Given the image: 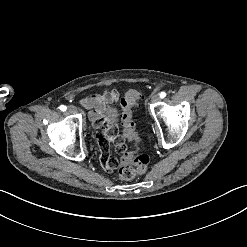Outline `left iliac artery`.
<instances>
[{"instance_id": "1", "label": "left iliac artery", "mask_w": 247, "mask_h": 247, "mask_svg": "<svg viewBox=\"0 0 247 247\" xmlns=\"http://www.w3.org/2000/svg\"><path fill=\"white\" fill-rule=\"evenodd\" d=\"M166 96V93L165 92H161L160 93V98H164Z\"/></svg>"}]
</instances>
